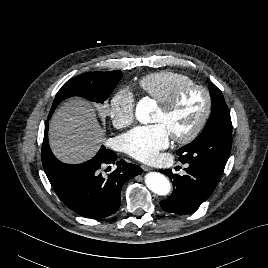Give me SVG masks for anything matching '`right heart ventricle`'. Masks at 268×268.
Returning a JSON list of instances; mask_svg holds the SVG:
<instances>
[{"mask_svg":"<svg viewBox=\"0 0 268 268\" xmlns=\"http://www.w3.org/2000/svg\"><path fill=\"white\" fill-rule=\"evenodd\" d=\"M190 83L192 80L182 73L173 70H160L141 78L139 87L157 103L163 104L178 88Z\"/></svg>","mask_w":268,"mask_h":268,"instance_id":"1","label":"right heart ventricle"}]
</instances>
